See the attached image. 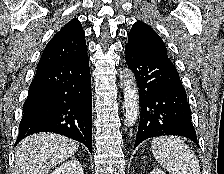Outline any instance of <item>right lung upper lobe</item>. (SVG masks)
I'll use <instances>...</instances> for the list:
<instances>
[{
	"label": "right lung upper lobe",
	"mask_w": 224,
	"mask_h": 174,
	"mask_svg": "<svg viewBox=\"0 0 224 174\" xmlns=\"http://www.w3.org/2000/svg\"><path fill=\"white\" fill-rule=\"evenodd\" d=\"M87 55L85 34L74 18L57 32L46 45L37 68L54 65Z\"/></svg>",
	"instance_id": "1"
}]
</instances>
